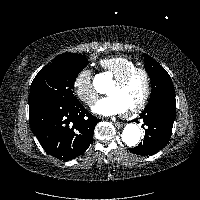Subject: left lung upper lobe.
Wrapping results in <instances>:
<instances>
[{"instance_id":"1","label":"left lung upper lobe","mask_w":200,"mask_h":200,"mask_svg":"<svg viewBox=\"0 0 200 200\" xmlns=\"http://www.w3.org/2000/svg\"><path fill=\"white\" fill-rule=\"evenodd\" d=\"M144 61L152 85V92L149 101L163 95L175 96L174 86L167 71L147 54H144Z\"/></svg>"}]
</instances>
